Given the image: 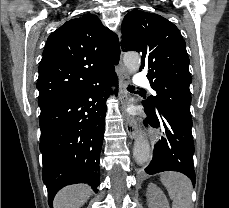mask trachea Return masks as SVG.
Instances as JSON below:
<instances>
[{"instance_id":"trachea-1","label":"trachea","mask_w":229,"mask_h":208,"mask_svg":"<svg viewBox=\"0 0 229 208\" xmlns=\"http://www.w3.org/2000/svg\"><path fill=\"white\" fill-rule=\"evenodd\" d=\"M128 88H133L132 86H129Z\"/></svg>"}]
</instances>
